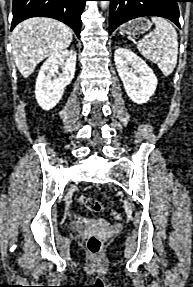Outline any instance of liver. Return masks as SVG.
Returning a JSON list of instances; mask_svg holds the SVG:
<instances>
[{
  "label": "liver",
  "instance_id": "6515ba94",
  "mask_svg": "<svg viewBox=\"0 0 193 287\" xmlns=\"http://www.w3.org/2000/svg\"><path fill=\"white\" fill-rule=\"evenodd\" d=\"M73 32L64 23L51 18L34 17L18 24L11 44L15 64L24 78L52 54L68 48Z\"/></svg>",
  "mask_w": 193,
  "mask_h": 287
}]
</instances>
